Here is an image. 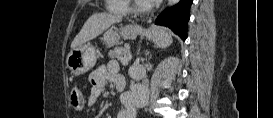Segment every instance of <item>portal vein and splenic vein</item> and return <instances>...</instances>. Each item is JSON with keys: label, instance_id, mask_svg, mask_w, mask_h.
<instances>
[{"label": "portal vein and splenic vein", "instance_id": "1", "mask_svg": "<svg viewBox=\"0 0 273 118\" xmlns=\"http://www.w3.org/2000/svg\"><path fill=\"white\" fill-rule=\"evenodd\" d=\"M131 54H129L128 56H126V58H125V61H128V60H130L131 59ZM128 64V63H127Z\"/></svg>", "mask_w": 273, "mask_h": 118}]
</instances>
